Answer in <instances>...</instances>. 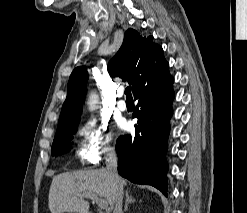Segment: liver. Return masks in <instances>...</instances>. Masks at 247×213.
Segmentation results:
<instances>
[{
    "label": "liver",
    "instance_id": "1",
    "mask_svg": "<svg viewBox=\"0 0 247 213\" xmlns=\"http://www.w3.org/2000/svg\"><path fill=\"white\" fill-rule=\"evenodd\" d=\"M120 184L126 181L119 177ZM92 193L114 206L115 182L106 169L66 172L53 177L49 190L51 213H88L90 204L83 197Z\"/></svg>",
    "mask_w": 247,
    "mask_h": 213
}]
</instances>
